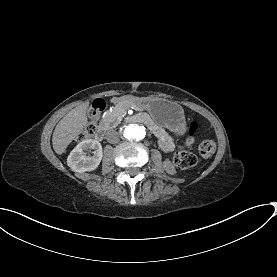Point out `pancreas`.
I'll use <instances>...</instances> for the list:
<instances>
[{"label":"pancreas","mask_w":277,"mask_h":277,"mask_svg":"<svg viewBox=\"0 0 277 277\" xmlns=\"http://www.w3.org/2000/svg\"><path fill=\"white\" fill-rule=\"evenodd\" d=\"M130 106L127 103H117L114 108H111L105 113V120L108 123H115L118 121L122 116H127L130 113Z\"/></svg>","instance_id":"pancreas-1"}]
</instances>
